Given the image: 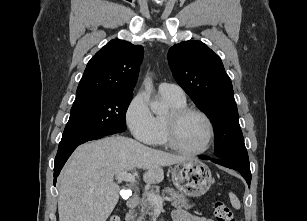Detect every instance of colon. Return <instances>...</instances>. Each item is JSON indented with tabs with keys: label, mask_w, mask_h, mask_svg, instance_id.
I'll list each match as a JSON object with an SVG mask.
<instances>
[{
	"label": "colon",
	"mask_w": 307,
	"mask_h": 221,
	"mask_svg": "<svg viewBox=\"0 0 307 221\" xmlns=\"http://www.w3.org/2000/svg\"><path fill=\"white\" fill-rule=\"evenodd\" d=\"M214 216L217 221H235L232 209L222 201L214 204ZM109 221H119L117 217H112Z\"/></svg>",
	"instance_id": "obj_1"
}]
</instances>
